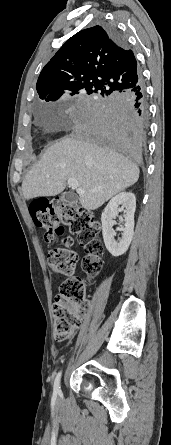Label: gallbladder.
<instances>
[{
  "label": "gallbladder",
  "mask_w": 171,
  "mask_h": 445,
  "mask_svg": "<svg viewBox=\"0 0 171 445\" xmlns=\"http://www.w3.org/2000/svg\"><path fill=\"white\" fill-rule=\"evenodd\" d=\"M61 199L65 202H71L74 200L73 196L68 192L63 193Z\"/></svg>",
  "instance_id": "1"
}]
</instances>
